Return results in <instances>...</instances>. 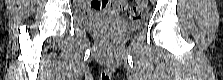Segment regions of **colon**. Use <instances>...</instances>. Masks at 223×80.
<instances>
[{"mask_svg":"<svg viewBox=\"0 0 223 80\" xmlns=\"http://www.w3.org/2000/svg\"><path fill=\"white\" fill-rule=\"evenodd\" d=\"M123 3L121 9L124 11L128 20L132 22L140 21L142 14L141 10L136 6H128L125 1H120Z\"/></svg>","mask_w":223,"mask_h":80,"instance_id":"1","label":"colon"}]
</instances>
